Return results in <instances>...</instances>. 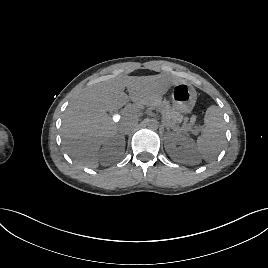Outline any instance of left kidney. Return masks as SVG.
<instances>
[{
    "instance_id": "obj_1",
    "label": "left kidney",
    "mask_w": 268,
    "mask_h": 268,
    "mask_svg": "<svg viewBox=\"0 0 268 268\" xmlns=\"http://www.w3.org/2000/svg\"><path fill=\"white\" fill-rule=\"evenodd\" d=\"M164 147L170 158L175 161L186 164H198L200 162L195 143L189 137L175 132L167 133Z\"/></svg>"
}]
</instances>
